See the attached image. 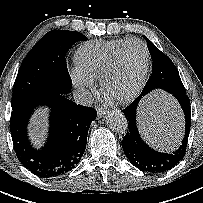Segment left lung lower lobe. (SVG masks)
Instances as JSON below:
<instances>
[{"label": "left lung lower lobe", "mask_w": 203, "mask_h": 203, "mask_svg": "<svg viewBox=\"0 0 203 203\" xmlns=\"http://www.w3.org/2000/svg\"><path fill=\"white\" fill-rule=\"evenodd\" d=\"M179 102L185 115V136L180 147L172 153H161L149 147L140 137L136 124V109L142 98L143 91L123 113L128 121V131L122 140V147L130 162L137 168L148 173H162L182 160L185 155L191 126V106L189 97L185 93H171Z\"/></svg>", "instance_id": "left-lung-lower-lobe-1"}]
</instances>
